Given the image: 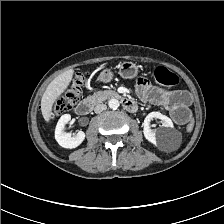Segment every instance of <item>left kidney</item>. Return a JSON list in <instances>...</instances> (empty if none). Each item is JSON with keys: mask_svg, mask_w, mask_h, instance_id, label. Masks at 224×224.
<instances>
[{"mask_svg": "<svg viewBox=\"0 0 224 224\" xmlns=\"http://www.w3.org/2000/svg\"><path fill=\"white\" fill-rule=\"evenodd\" d=\"M153 118L161 120V128L152 130L150 128V122ZM173 128L172 120L161 114L160 112L149 113L143 123L144 137L154 145H164L168 142L169 129Z\"/></svg>", "mask_w": 224, "mask_h": 224, "instance_id": "left-kidney-1", "label": "left kidney"}]
</instances>
